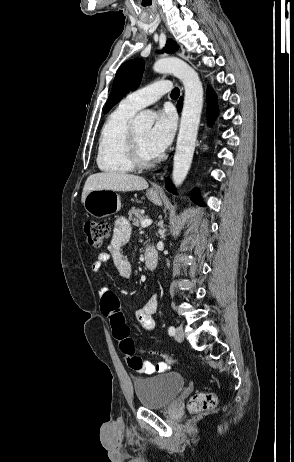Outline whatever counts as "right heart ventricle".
I'll return each mask as SVG.
<instances>
[{
	"mask_svg": "<svg viewBox=\"0 0 294 462\" xmlns=\"http://www.w3.org/2000/svg\"><path fill=\"white\" fill-rule=\"evenodd\" d=\"M136 110L122 103L108 116L99 138L97 165L105 173L124 174L133 171L127 152L130 120Z\"/></svg>",
	"mask_w": 294,
	"mask_h": 462,
	"instance_id": "1",
	"label": "right heart ventricle"
}]
</instances>
